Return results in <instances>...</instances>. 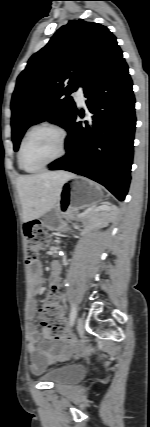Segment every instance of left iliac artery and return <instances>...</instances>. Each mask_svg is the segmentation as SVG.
Returning a JSON list of instances; mask_svg holds the SVG:
<instances>
[{"mask_svg": "<svg viewBox=\"0 0 150 427\" xmlns=\"http://www.w3.org/2000/svg\"><path fill=\"white\" fill-rule=\"evenodd\" d=\"M76 316H77L76 306L74 304H71V312L69 316V323L71 326H73Z\"/></svg>", "mask_w": 150, "mask_h": 427, "instance_id": "1", "label": "left iliac artery"}]
</instances>
